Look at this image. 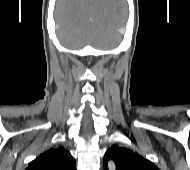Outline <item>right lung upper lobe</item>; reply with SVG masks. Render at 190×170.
<instances>
[{"mask_svg": "<svg viewBox=\"0 0 190 170\" xmlns=\"http://www.w3.org/2000/svg\"><path fill=\"white\" fill-rule=\"evenodd\" d=\"M26 170H76V162L68 151L60 147L38 156Z\"/></svg>", "mask_w": 190, "mask_h": 170, "instance_id": "right-lung-upper-lobe-1", "label": "right lung upper lobe"}]
</instances>
